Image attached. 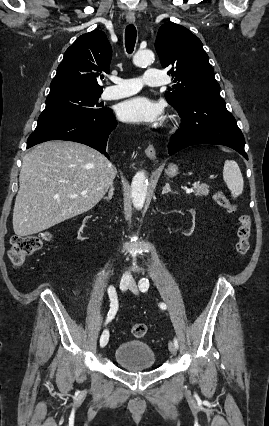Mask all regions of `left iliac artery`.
Returning <instances> with one entry per match:
<instances>
[{
  "instance_id": "1",
  "label": "left iliac artery",
  "mask_w": 269,
  "mask_h": 426,
  "mask_svg": "<svg viewBox=\"0 0 269 426\" xmlns=\"http://www.w3.org/2000/svg\"><path fill=\"white\" fill-rule=\"evenodd\" d=\"M148 288H149V281H148V279L142 278L139 281V289L142 292H146L148 290ZM159 306H160L161 309H164V310L167 308V306H166L165 303H160ZM174 344H175L176 348H178V342H177L176 338L174 339Z\"/></svg>"
}]
</instances>
